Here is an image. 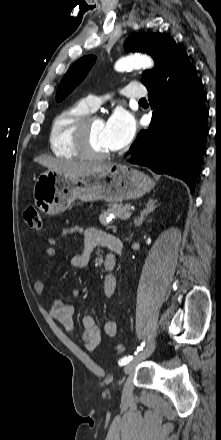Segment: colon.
Wrapping results in <instances>:
<instances>
[{"label":"colon","instance_id":"1","mask_svg":"<svg viewBox=\"0 0 221 440\" xmlns=\"http://www.w3.org/2000/svg\"><path fill=\"white\" fill-rule=\"evenodd\" d=\"M24 218L30 228L35 230L42 228V219L37 207L29 206L24 212ZM114 350L116 353L121 354L124 351V345L116 344Z\"/></svg>","mask_w":221,"mask_h":440}]
</instances>
